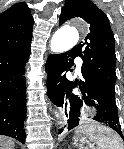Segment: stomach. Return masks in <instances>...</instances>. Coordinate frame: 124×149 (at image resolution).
<instances>
[{"label": "stomach", "mask_w": 124, "mask_h": 149, "mask_svg": "<svg viewBox=\"0 0 124 149\" xmlns=\"http://www.w3.org/2000/svg\"><path fill=\"white\" fill-rule=\"evenodd\" d=\"M87 129H81L78 133H76L74 139L76 143H90L94 141V139L91 137V135H96L98 133H107L110 137H117L115 133L107 128H103L101 126H85ZM90 129L91 131H89Z\"/></svg>", "instance_id": "obj_1"}]
</instances>
